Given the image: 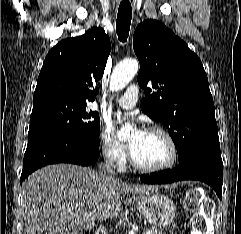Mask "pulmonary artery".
<instances>
[{
    "instance_id": "pulmonary-artery-1",
    "label": "pulmonary artery",
    "mask_w": 241,
    "mask_h": 234,
    "mask_svg": "<svg viewBox=\"0 0 241 234\" xmlns=\"http://www.w3.org/2000/svg\"><path fill=\"white\" fill-rule=\"evenodd\" d=\"M138 96H139L138 86L131 85L128 87V89L122 96L116 99V103L124 109H131L136 105Z\"/></svg>"
}]
</instances>
